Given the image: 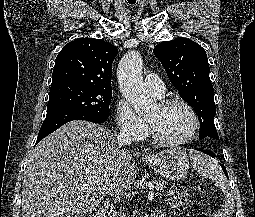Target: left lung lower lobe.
I'll return each mask as SVG.
<instances>
[{
  "label": "left lung lower lobe",
  "mask_w": 255,
  "mask_h": 217,
  "mask_svg": "<svg viewBox=\"0 0 255 217\" xmlns=\"http://www.w3.org/2000/svg\"><path fill=\"white\" fill-rule=\"evenodd\" d=\"M198 151H201L207 155H210L211 157H215V153L211 150H205V149H196ZM222 169H223V172L225 173V175L228 177L227 175V171H226V168L224 167V165H221Z\"/></svg>",
  "instance_id": "left-lung-lower-lobe-1"
}]
</instances>
